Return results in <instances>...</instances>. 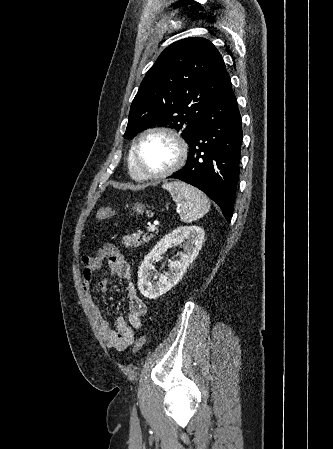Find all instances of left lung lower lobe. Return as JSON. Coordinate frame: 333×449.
<instances>
[{
    "instance_id": "0a47b994",
    "label": "left lung lower lobe",
    "mask_w": 333,
    "mask_h": 449,
    "mask_svg": "<svg viewBox=\"0 0 333 449\" xmlns=\"http://www.w3.org/2000/svg\"><path fill=\"white\" fill-rule=\"evenodd\" d=\"M242 123L229 79L214 96L189 144L186 165L169 178L202 190L230 222L239 176Z\"/></svg>"
}]
</instances>
